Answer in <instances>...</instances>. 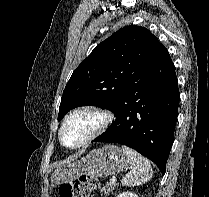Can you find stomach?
Here are the masks:
<instances>
[{"mask_svg": "<svg viewBox=\"0 0 209 197\" xmlns=\"http://www.w3.org/2000/svg\"><path fill=\"white\" fill-rule=\"evenodd\" d=\"M126 154L118 146L106 145L94 149L81 160L57 168L52 176V187L77 179L82 174L90 177H106L124 170Z\"/></svg>", "mask_w": 209, "mask_h": 197, "instance_id": "1", "label": "stomach"}]
</instances>
